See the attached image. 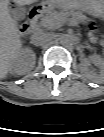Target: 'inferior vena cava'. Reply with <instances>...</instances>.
Listing matches in <instances>:
<instances>
[{
  "instance_id": "602c4592",
  "label": "inferior vena cava",
  "mask_w": 104,
  "mask_h": 137,
  "mask_svg": "<svg viewBox=\"0 0 104 137\" xmlns=\"http://www.w3.org/2000/svg\"><path fill=\"white\" fill-rule=\"evenodd\" d=\"M48 40V35L42 31H38L31 36V43L35 46H41Z\"/></svg>"
}]
</instances>
